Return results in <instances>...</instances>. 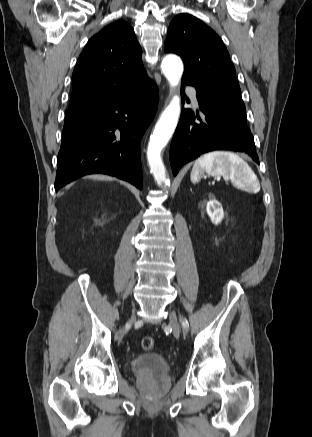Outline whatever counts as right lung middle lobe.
Masks as SVG:
<instances>
[{"mask_svg":"<svg viewBox=\"0 0 312 437\" xmlns=\"http://www.w3.org/2000/svg\"><path fill=\"white\" fill-rule=\"evenodd\" d=\"M85 112H70L65 114L64 124L73 122L84 115Z\"/></svg>","mask_w":312,"mask_h":437,"instance_id":"obj_1","label":"right lung middle lobe"}]
</instances>
